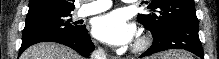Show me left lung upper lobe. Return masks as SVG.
<instances>
[{
  "label": "left lung upper lobe",
  "mask_w": 219,
  "mask_h": 59,
  "mask_svg": "<svg viewBox=\"0 0 219 59\" xmlns=\"http://www.w3.org/2000/svg\"><path fill=\"white\" fill-rule=\"evenodd\" d=\"M149 13L137 16L154 35L166 33L172 26L188 18H196L193 0H150Z\"/></svg>",
  "instance_id": "obj_1"
}]
</instances>
